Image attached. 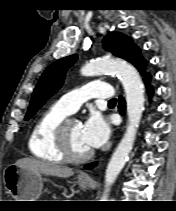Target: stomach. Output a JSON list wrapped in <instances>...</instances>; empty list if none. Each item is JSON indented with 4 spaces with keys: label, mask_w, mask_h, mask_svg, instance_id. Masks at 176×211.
<instances>
[{
    "label": "stomach",
    "mask_w": 176,
    "mask_h": 211,
    "mask_svg": "<svg viewBox=\"0 0 176 211\" xmlns=\"http://www.w3.org/2000/svg\"><path fill=\"white\" fill-rule=\"evenodd\" d=\"M3 180L8 193L16 201H37L43 188V178L41 173L33 172L25 168L9 165L3 173ZM78 184L82 188H87L89 180L78 177Z\"/></svg>",
    "instance_id": "stomach-1"
}]
</instances>
